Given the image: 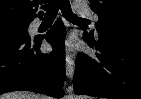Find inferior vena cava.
<instances>
[{
	"label": "inferior vena cava",
	"instance_id": "inferior-vena-cava-1",
	"mask_svg": "<svg viewBox=\"0 0 141 99\" xmlns=\"http://www.w3.org/2000/svg\"><path fill=\"white\" fill-rule=\"evenodd\" d=\"M41 98L40 99H47V97L39 95Z\"/></svg>",
	"mask_w": 141,
	"mask_h": 99
}]
</instances>
